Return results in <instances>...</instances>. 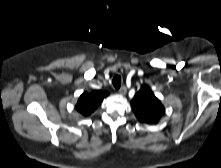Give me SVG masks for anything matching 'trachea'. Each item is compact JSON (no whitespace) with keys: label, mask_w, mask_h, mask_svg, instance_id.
<instances>
[{"label":"trachea","mask_w":221,"mask_h":168,"mask_svg":"<svg viewBox=\"0 0 221 168\" xmlns=\"http://www.w3.org/2000/svg\"><path fill=\"white\" fill-rule=\"evenodd\" d=\"M113 86L118 90L121 86V77L119 75H116L114 78H113Z\"/></svg>","instance_id":"trachea-1"}]
</instances>
